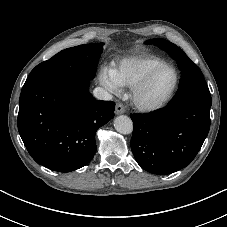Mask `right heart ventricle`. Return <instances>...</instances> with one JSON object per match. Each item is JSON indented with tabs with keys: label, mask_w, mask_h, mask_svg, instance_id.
<instances>
[{
	"label": "right heart ventricle",
	"mask_w": 227,
	"mask_h": 227,
	"mask_svg": "<svg viewBox=\"0 0 227 227\" xmlns=\"http://www.w3.org/2000/svg\"><path fill=\"white\" fill-rule=\"evenodd\" d=\"M167 64L155 55H138L124 58L117 63L112 72L121 87L133 88L151 70Z\"/></svg>",
	"instance_id": "1"
}]
</instances>
